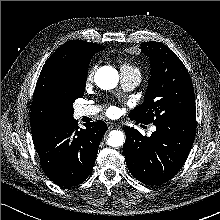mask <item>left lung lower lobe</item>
Instances as JSON below:
<instances>
[{"mask_svg":"<svg viewBox=\"0 0 220 220\" xmlns=\"http://www.w3.org/2000/svg\"><path fill=\"white\" fill-rule=\"evenodd\" d=\"M154 125L156 131L150 137L124 127L127 167L137 180L148 185L163 184L178 173L196 134V122L178 118H168Z\"/></svg>","mask_w":220,"mask_h":220,"instance_id":"1","label":"left lung lower lobe"}]
</instances>
